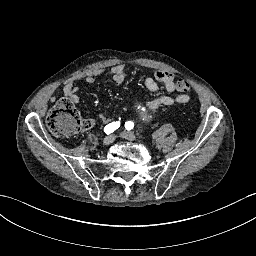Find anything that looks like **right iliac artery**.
<instances>
[{
  "label": "right iliac artery",
  "mask_w": 256,
  "mask_h": 256,
  "mask_svg": "<svg viewBox=\"0 0 256 256\" xmlns=\"http://www.w3.org/2000/svg\"><path fill=\"white\" fill-rule=\"evenodd\" d=\"M119 126H120L119 121L118 122H112V123L105 126L104 131H105L106 134H110V133L114 132L117 128H119Z\"/></svg>",
  "instance_id": "obj_1"
}]
</instances>
